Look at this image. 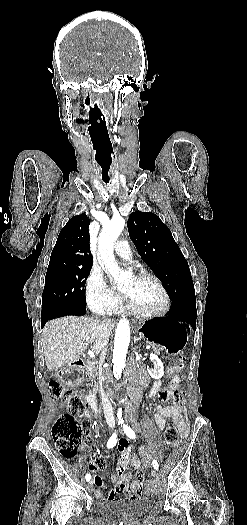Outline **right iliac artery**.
<instances>
[{"instance_id": "obj_1", "label": "right iliac artery", "mask_w": 247, "mask_h": 525, "mask_svg": "<svg viewBox=\"0 0 247 525\" xmlns=\"http://www.w3.org/2000/svg\"><path fill=\"white\" fill-rule=\"evenodd\" d=\"M116 442H117V434L116 432H114L107 442V448L114 447L116 445ZM85 478H86V481H90L91 475L88 473Z\"/></svg>"}]
</instances>
